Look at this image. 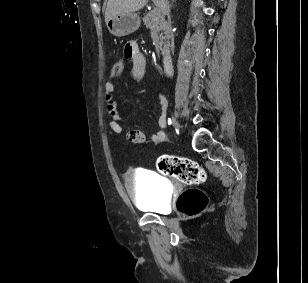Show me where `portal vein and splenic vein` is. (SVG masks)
<instances>
[{
    "label": "portal vein and splenic vein",
    "instance_id": "obj_1",
    "mask_svg": "<svg viewBox=\"0 0 308 283\" xmlns=\"http://www.w3.org/2000/svg\"><path fill=\"white\" fill-rule=\"evenodd\" d=\"M161 9V5L160 4H156V8L154 11H159Z\"/></svg>",
    "mask_w": 308,
    "mask_h": 283
}]
</instances>
